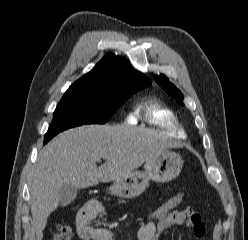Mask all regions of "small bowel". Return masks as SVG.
<instances>
[{
	"mask_svg": "<svg viewBox=\"0 0 248 240\" xmlns=\"http://www.w3.org/2000/svg\"><path fill=\"white\" fill-rule=\"evenodd\" d=\"M105 209L98 200L88 201L77 213L76 229L82 240H119L117 235L107 228L94 227L92 221L103 217ZM186 225L191 228L193 235L204 240L205 225L199 213L191 207L174 210L166 216L154 219L147 218L138 228L135 240H158L160 235L171 226ZM178 240H181L180 238Z\"/></svg>",
	"mask_w": 248,
	"mask_h": 240,
	"instance_id": "obj_1",
	"label": "small bowel"
}]
</instances>
